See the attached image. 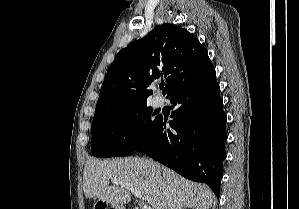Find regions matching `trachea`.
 <instances>
[{"label": "trachea", "mask_w": 299, "mask_h": 209, "mask_svg": "<svg viewBox=\"0 0 299 209\" xmlns=\"http://www.w3.org/2000/svg\"><path fill=\"white\" fill-rule=\"evenodd\" d=\"M160 89H163V86H160Z\"/></svg>", "instance_id": "3493384b"}]
</instances>
